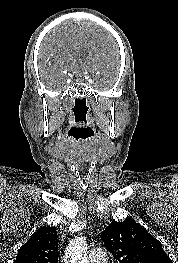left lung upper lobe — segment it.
<instances>
[{
	"mask_svg": "<svg viewBox=\"0 0 178 263\" xmlns=\"http://www.w3.org/2000/svg\"><path fill=\"white\" fill-rule=\"evenodd\" d=\"M101 239L120 263H172L161 243L132 219L113 221Z\"/></svg>",
	"mask_w": 178,
	"mask_h": 263,
	"instance_id": "obj_1",
	"label": "left lung upper lobe"
}]
</instances>
